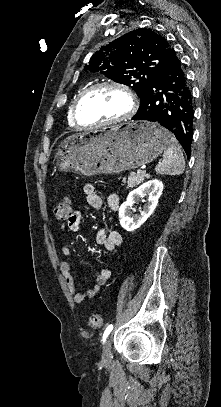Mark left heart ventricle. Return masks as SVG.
<instances>
[{"mask_svg":"<svg viewBox=\"0 0 221 407\" xmlns=\"http://www.w3.org/2000/svg\"><path fill=\"white\" fill-rule=\"evenodd\" d=\"M129 110L126 94L116 88H103L92 93L81 105L82 124L106 122L119 118Z\"/></svg>","mask_w":221,"mask_h":407,"instance_id":"obj_1","label":"left heart ventricle"}]
</instances>
